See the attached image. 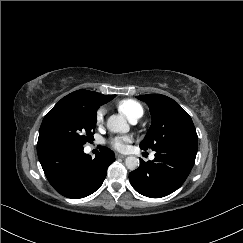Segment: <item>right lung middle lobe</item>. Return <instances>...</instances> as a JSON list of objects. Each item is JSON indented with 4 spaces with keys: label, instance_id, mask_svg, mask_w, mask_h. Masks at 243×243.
Wrapping results in <instances>:
<instances>
[{
    "label": "right lung middle lobe",
    "instance_id": "1",
    "mask_svg": "<svg viewBox=\"0 0 243 243\" xmlns=\"http://www.w3.org/2000/svg\"><path fill=\"white\" fill-rule=\"evenodd\" d=\"M97 108L59 101L44 117L37 151L55 146L83 145L93 138Z\"/></svg>",
    "mask_w": 243,
    "mask_h": 243
}]
</instances>
